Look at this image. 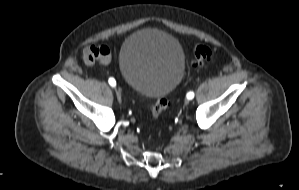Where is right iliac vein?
Returning a JSON list of instances; mask_svg holds the SVG:
<instances>
[{"label": "right iliac vein", "instance_id": "obj_1", "mask_svg": "<svg viewBox=\"0 0 299 190\" xmlns=\"http://www.w3.org/2000/svg\"><path fill=\"white\" fill-rule=\"evenodd\" d=\"M116 95H117V99L121 102L122 101V96H121V93L118 89H116Z\"/></svg>", "mask_w": 299, "mask_h": 190}]
</instances>
